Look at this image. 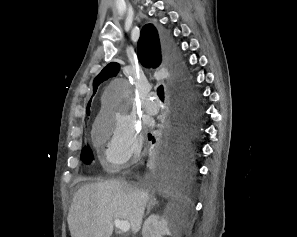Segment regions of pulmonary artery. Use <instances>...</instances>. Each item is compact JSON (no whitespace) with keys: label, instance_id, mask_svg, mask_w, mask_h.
<instances>
[{"label":"pulmonary artery","instance_id":"e3ab8cb5","mask_svg":"<svg viewBox=\"0 0 297 237\" xmlns=\"http://www.w3.org/2000/svg\"><path fill=\"white\" fill-rule=\"evenodd\" d=\"M144 108L149 114H156L159 111L160 105L157 101L153 100V96H150L146 99Z\"/></svg>","mask_w":297,"mask_h":237}]
</instances>
